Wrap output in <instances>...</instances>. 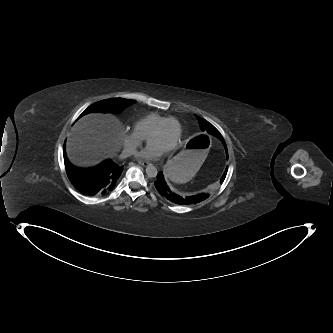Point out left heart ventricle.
Segmentation results:
<instances>
[{
	"label": "left heart ventricle",
	"instance_id": "obj_1",
	"mask_svg": "<svg viewBox=\"0 0 333 333\" xmlns=\"http://www.w3.org/2000/svg\"><path fill=\"white\" fill-rule=\"evenodd\" d=\"M178 135V127L175 122H169L165 125L163 130L156 135L150 143L162 149H168L176 140Z\"/></svg>",
	"mask_w": 333,
	"mask_h": 333
}]
</instances>
